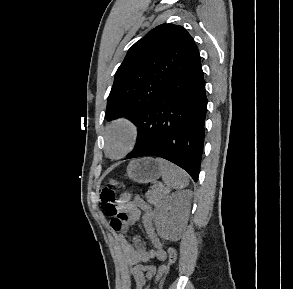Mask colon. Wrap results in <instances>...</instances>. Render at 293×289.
<instances>
[{
	"mask_svg": "<svg viewBox=\"0 0 293 289\" xmlns=\"http://www.w3.org/2000/svg\"><path fill=\"white\" fill-rule=\"evenodd\" d=\"M123 184L118 181L111 180L109 185L104 187L101 191V205L103 211L111 216L116 218L119 216V209L117 204L116 188H122ZM114 228L116 230L122 229L123 224L115 222ZM177 252L174 247L170 246L168 248V262L166 265H163L155 277V285L157 288H161L163 285L164 279L169 272L170 267L176 262Z\"/></svg>",
	"mask_w": 293,
	"mask_h": 289,
	"instance_id": "5ec220e1",
	"label": "colon"
}]
</instances>
